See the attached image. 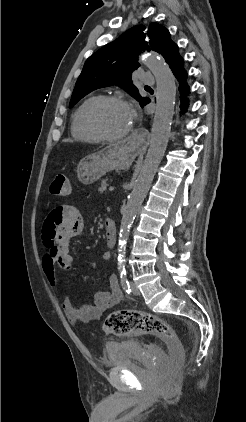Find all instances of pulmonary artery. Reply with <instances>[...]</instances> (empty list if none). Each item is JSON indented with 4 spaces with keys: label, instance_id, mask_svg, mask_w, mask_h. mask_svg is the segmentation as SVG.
<instances>
[{
    "label": "pulmonary artery",
    "instance_id": "e3ab8cb5",
    "mask_svg": "<svg viewBox=\"0 0 246 422\" xmlns=\"http://www.w3.org/2000/svg\"><path fill=\"white\" fill-rule=\"evenodd\" d=\"M141 81L146 85H153L155 83V78L150 72H143L141 74Z\"/></svg>",
    "mask_w": 246,
    "mask_h": 422
}]
</instances>
